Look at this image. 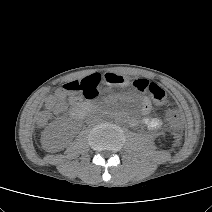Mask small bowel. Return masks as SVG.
I'll return each mask as SVG.
<instances>
[{"instance_id": "small-bowel-1", "label": "small bowel", "mask_w": 212, "mask_h": 212, "mask_svg": "<svg viewBox=\"0 0 212 212\" xmlns=\"http://www.w3.org/2000/svg\"><path fill=\"white\" fill-rule=\"evenodd\" d=\"M81 102V98L79 96H70L68 100L65 99V94L62 92H58L54 96H50L46 99L45 105L46 108L52 110L55 114H59L64 112L68 105L74 106ZM151 109V105L148 100L143 102V113H149ZM145 125L149 129H157L161 126L162 121L156 117H146L144 119Z\"/></svg>"}]
</instances>
